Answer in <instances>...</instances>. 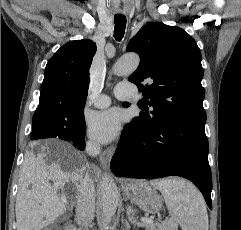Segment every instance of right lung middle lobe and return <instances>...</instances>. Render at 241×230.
Listing matches in <instances>:
<instances>
[{"label":"right lung middle lobe","mask_w":241,"mask_h":230,"mask_svg":"<svg viewBox=\"0 0 241 230\" xmlns=\"http://www.w3.org/2000/svg\"><path fill=\"white\" fill-rule=\"evenodd\" d=\"M33 129L31 139L58 137L60 139L85 137L84 106L77 108H59L32 119ZM57 133L58 135H53Z\"/></svg>","instance_id":"right-lung-middle-lobe-1"}]
</instances>
